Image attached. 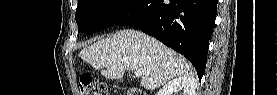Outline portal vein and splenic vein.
<instances>
[{"mask_svg": "<svg viewBox=\"0 0 277 95\" xmlns=\"http://www.w3.org/2000/svg\"><path fill=\"white\" fill-rule=\"evenodd\" d=\"M134 74L136 77H140L142 75V72L137 70L134 72Z\"/></svg>", "mask_w": 277, "mask_h": 95, "instance_id": "obj_1", "label": "portal vein and splenic vein"}]
</instances>
